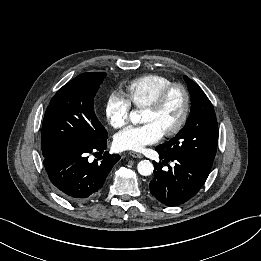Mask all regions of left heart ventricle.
<instances>
[{
  "mask_svg": "<svg viewBox=\"0 0 261 261\" xmlns=\"http://www.w3.org/2000/svg\"><path fill=\"white\" fill-rule=\"evenodd\" d=\"M184 105L183 95L180 91H174L168 98L164 107L158 113L144 110L142 123H152L162 133L168 131L178 122Z\"/></svg>",
  "mask_w": 261,
  "mask_h": 261,
  "instance_id": "b2bd125f",
  "label": "left heart ventricle"
}]
</instances>
